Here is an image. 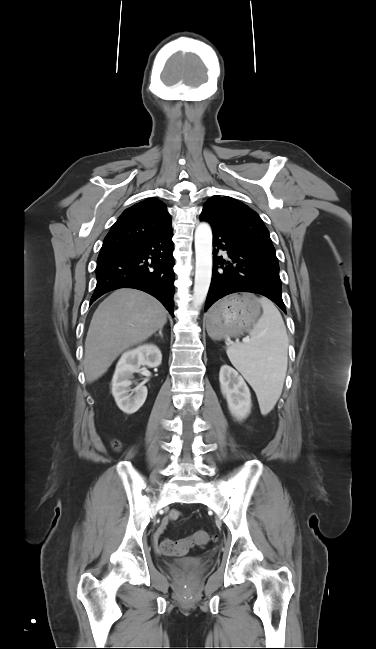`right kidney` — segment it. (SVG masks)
I'll use <instances>...</instances> for the list:
<instances>
[{"instance_id":"right-kidney-1","label":"right kidney","mask_w":376,"mask_h":649,"mask_svg":"<svg viewBox=\"0 0 376 649\" xmlns=\"http://www.w3.org/2000/svg\"><path fill=\"white\" fill-rule=\"evenodd\" d=\"M161 361V351L154 344L140 345L121 356L112 378V395L117 406L123 412L135 413L144 404L147 397V387L143 384L130 389L133 373L142 372L140 367L144 365L150 368L158 367Z\"/></svg>"}]
</instances>
